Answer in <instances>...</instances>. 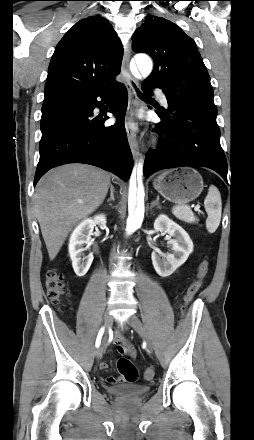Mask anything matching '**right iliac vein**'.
Returning <instances> with one entry per match:
<instances>
[{
	"label": "right iliac vein",
	"instance_id": "1",
	"mask_svg": "<svg viewBox=\"0 0 254 440\" xmlns=\"http://www.w3.org/2000/svg\"><path fill=\"white\" fill-rule=\"evenodd\" d=\"M112 322H113L112 315L110 313H106L104 315V325H105V328L108 329L112 325ZM105 340H106V337H104L103 343L97 348V350L95 352L97 359L101 358V356L103 354Z\"/></svg>",
	"mask_w": 254,
	"mask_h": 440
}]
</instances>
